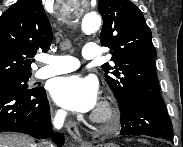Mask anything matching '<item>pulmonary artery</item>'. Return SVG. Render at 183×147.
I'll return each mask as SVG.
<instances>
[{
  "instance_id": "obj_1",
  "label": "pulmonary artery",
  "mask_w": 183,
  "mask_h": 147,
  "mask_svg": "<svg viewBox=\"0 0 183 147\" xmlns=\"http://www.w3.org/2000/svg\"><path fill=\"white\" fill-rule=\"evenodd\" d=\"M99 55L98 46L95 43H87L82 49V56L85 59H94ZM41 62L45 64L35 73L36 78L44 79L55 75L68 73L76 70L80 63L72 56L46 55L41 58Z\"/></svg>"
}]
</instances>
